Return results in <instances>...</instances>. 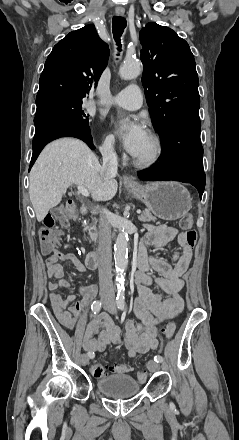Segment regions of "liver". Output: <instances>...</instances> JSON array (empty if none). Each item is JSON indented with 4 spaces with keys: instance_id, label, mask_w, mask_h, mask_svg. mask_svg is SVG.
Masks as SVG:
<instances>
[{
    "instance_id": "1",
    "label": "liver",
    "mask_w": 239,
    "mask_h": 440,
    "mask_svg": "<svg viewBox=\"0 0 239 440\" xmlns=\"http://www.w3.org/2000/svg\"><path fill=\"white\" fill-rule=\"evenodd\" d=\"M95 154L76 138H60L45 146L29 176V196L38 222L60 204L67 188L76 184L89 190L97 202L114 198L116 180H105Z\"/></svg>"
}]
</instances>
